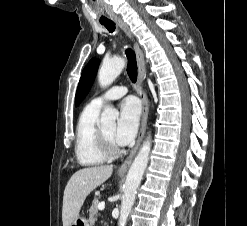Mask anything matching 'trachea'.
<instances>
[{
  "mask_svg": "<svg viewBox=\"0 0 247 226\" xmlns=\"http://www.w3.org/2000/svg\"><path fill=\"white\" fill-rule=\"evenodd\" d=\"M103 25L106 27V29L109 32L115 31V23L114 22H107L103 23ZM126 56L128 60L127 64V74L130 78V80L135 83L137 81V64H136V56L135 53L132 49L127 48L126 51Z\"/></svg>",
  "mask_w": 247,
  "mask_h": 226,
  "instance_id": "trachea-1",
  "label": "trachea"
}]
</instances>
